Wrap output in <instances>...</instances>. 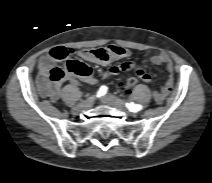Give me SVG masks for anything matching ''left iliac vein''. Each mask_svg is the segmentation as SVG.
I'll return each instance as SVG.
<instances>
[{
    "label": "left iliac vein",
    "mask_w": 212,
    "mask_h": 183,
    "mask_svg": "<svg viewBox=\"0 0 212 183\" xmlns=\"http://www.w3.org/2000/svg\"><path fill=\"white\" fill-rule=\"evenodd\" d=\"M101 100L103 103L109 104L111 106H115L120 109L125 108L123 102L119 98H117L113 95H105L101 98ZM131 115H134V114L131 113Z\"/></svg>",
    "instance_id": "4c4485c4"
}]
</instances>
